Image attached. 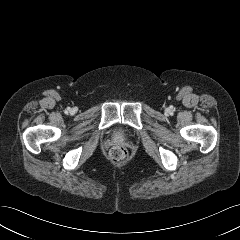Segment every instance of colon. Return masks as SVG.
<instances>
[{
  "mask_svg": "<svg viewBox=\"0 0 240 240\" xmlns=\"http://www.w3.org/2000/svg\"><path fill=\"white\" fill-rule=\"evenodd\" d=\"M128 153L126 148L115 145L109 150V159L115 164H121L127 159Z\"/></svg>",
  "mask_w": 240,
  "mask_h": 240,
  "instance_id": "5ec220e1",
  "label": "colon"
}]
</instances>
